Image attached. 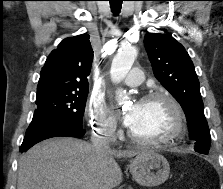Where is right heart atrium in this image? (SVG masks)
<instances>
[{"label":"right heart atrium","instance_id":"d8ad5b80","mask_svg":"<svg viewBox=\"0 0 223 189\" xmlns=\"http://www.w3.org/2000/svg\"><path fill=\"white\" fill-rule=\"evenodd\" d=\"M85 113L94 135L106 139L114 136L117 129L116 118L110 108L101 99H90Z\"/></svg>","mask_w":223,"mask_h":189}]
</instances>
